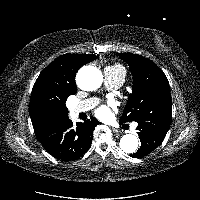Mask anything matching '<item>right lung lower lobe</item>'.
I'll return each mask as SVG.
<instances>
[{"instance_id":"right-lung-lower-lobe-1","label":"right lung lower lobe","mask_w":200,"mask_h":200,"mask_svg":"<svg viewBox=\"0 0 200 200\" xmlns=\"http://www.w3.org/2000/svg\"><path fill=\"white\" fill-rule=\"evenodd\" d=\"M100 122L94 117L84 123L73 122L68 115L48 119L34 130L45 150L63 161L80 158L91 146L93 130Z\"/></svg>"}]
</instances>
